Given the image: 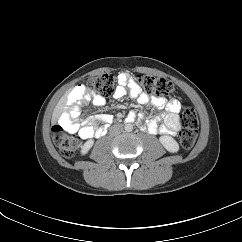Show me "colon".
<instances>
[{
    "mask_svg": "<svg viewBox=\"0 0 242 242\" xmlns=\"http://www.w3.org/2000/svg\"><path fill=\"white\" fill-rule=\"evenodd\" d=\"M138 82L142 85L147 93H151L157 97H165L174 93L172 83L163 78L150 75H140L137 77ZM115 86V78L111 73L101 74L89 80L88 89L102 95H110ZM180 121L182 129L180 131L181 145L189 149L196 140L198 132V116L193 107H186L181 116ZM54 141L60 152L66 157H72L76 154L80 147V140L67 131L60 123L53 128Z\"/></svg>",
    "mask_w": 242,
    "mask_h": 242,
    "instance_id": "5ec220e1",
    "label": "colon"
}]
</instances>
